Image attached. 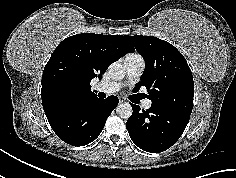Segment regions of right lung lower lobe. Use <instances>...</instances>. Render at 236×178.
<instances>
[{"instance_id": "right-lung-lower-lobe-1", "label": "right lung lower lobe", "mask_w": 236, "mask_h": 178, "mask_svg": "<svg viewBox=\"0 0 236 178\" xmlns=\"http://www.w3.org/2000/svg\"><path fill=\"white\" fill-rule=\"evenodd\" d=\"M118 101L116 96H109L103 100L94 96L46 116L60 139L73 146H83L93 142L100 135Z\"/></svg>"}]
</instances>
